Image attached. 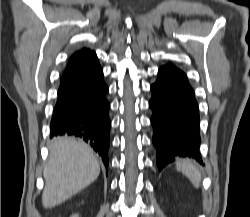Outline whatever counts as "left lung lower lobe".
Listing matches in <instances>:
<instances>
[{
  "instance_id": "left-lung-lower-lobe-1",
  "label": "left lung lower lobe",
  "mask_w": 250,
  "mask_h": 217,
  "mask_svg": "<svg viewBox=\"0 0 250 217\" xmlns=\"http://www.w3.org/2000/svg\"><path fill=\"white\" fill-rule=\"evenodd\" d=\"M151 91L149 107L153 111L151 123L158 169L177 157H191L202 163L198 105L185 73L172 63L162 66Z\"/></svg>"
}]
</instances>
